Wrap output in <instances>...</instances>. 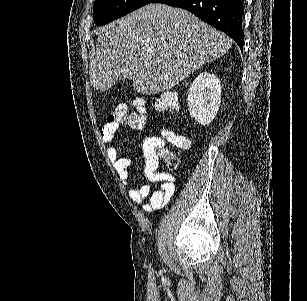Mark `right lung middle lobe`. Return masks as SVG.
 <instances>
[{
    "label": "right lung middle lobe",
    "instance_id": "right-lung-middle-lobe-1",
    "mask_svg": "<svg viewBox=\"0 0 307 301\" xmlns=\"http://www.w3.org/2000/svg\"><path fill=\"white\" fill-rule=\"evenodd\" d=\"M150 2L151 0H96L93 8L94 22L101 26Z\"/></svg>",
    "mask_w": 307,
    "mask_h": 301
}]
</instances>
